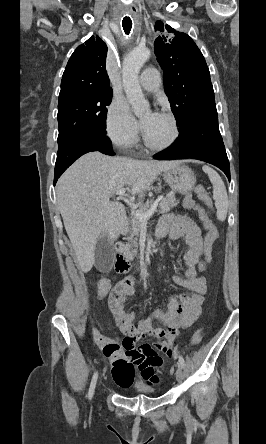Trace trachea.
<instances>
[{
    "instance_id": "trachea-1",
    "label": "trachea",
    "mask_w": 266,
    "mask_h": 444,
    "mask_svg": "<svg viewBox=\"0 0 266 444\" xmlns=\"http://www.w3.org/2000/svg\"><path fill=\"white\" fill-rule=\"evenodd\" d=\"M122 27H123L125 34L128 35L132 29V20L130 17L126 16L123 18Z\"/></svg>"
}]
</instances>
